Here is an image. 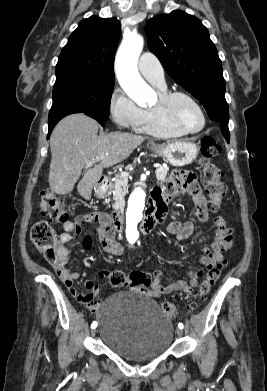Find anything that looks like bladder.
I'll return each instance as SVG.
<instances>
[{"mask_svg":"<svg viewBox=\"0 0 267 391\" xmlns=\"http://www.w3.org/2000/svg\"><path fill=\"white\" fill-rule=\"evenodd\" d=\"M96 315L102 343L125 359L151 360L164 354L172 344V321L155 301L139 292L110 295Z\"/></svg>","mask_w":267,"mask_h":391,"instance_id":"1","label":"bladder"}]
</instances>
